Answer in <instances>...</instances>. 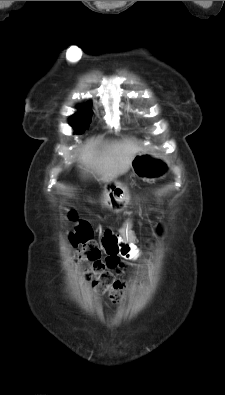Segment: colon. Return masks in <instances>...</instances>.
<instances>
[{"label": "colon", "instance_id": "5ec220e1", "mask_svg": "<svg viewBox=\"0 0 225 395\" xmlns=\"http://www.w3.org/2000/svg\"><path fill=\"white\" fill-rule=\"evenodd\" d=\"M68 218L75 223L70 241L76 250V259L87 264V278L98 292L108 293L113 302L122 301L126 283L112 275L109 268L110 259L101 258V249L93 238L92 227L85 221H79L74 211L69 212Z\"/></svg>", "mask_w": 225, "mask_h": 395}]
</instances>
